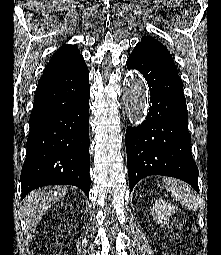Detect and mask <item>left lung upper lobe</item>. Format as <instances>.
<instances>
[{"instance_id":"1","label":"left lung upper lobe","mask_w":221,"mask_h":255,"mask_svg":"<svg viewBox=\"0 0 221 255\" xmlns=\"http://www.w3.org/2000/svg\"><path fill=\"white\" fill-rule=\"evenodd\" d=\"M137 48L145 49L158 57H161L162 60L170 65L173 69H176L175 63L165 46L158 42L153 37H144L141 42L136 45Z\"/></svg>"}]
</instances>
